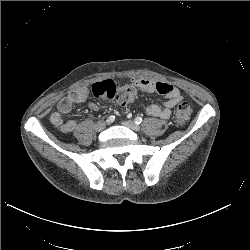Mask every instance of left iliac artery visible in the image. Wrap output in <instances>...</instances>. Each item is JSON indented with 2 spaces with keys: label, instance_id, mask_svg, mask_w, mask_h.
I'll list each match as a JSON object with an SVG mask.
<instances>
[{
  "label": "left iliac artery",
  "instance_id": "44dca946",
  "mask_svg": "<svg viewBox=\"0 0 250 250\" xmlns=\"http://www.w3.org/2000/svg\"><path fill=\"white\" fill-rule=\"evenodd\" d=\"M134 121H135L136 124H141L142 123V118L140 116H137Z\"/></svg>",
  "mask_w": 250,
  "mask_h": 250
}]
</instances>
